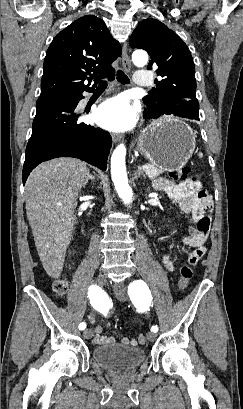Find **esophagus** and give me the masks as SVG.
<instances>
[{"label": "esophagus", "mask_w": 243, "mask_h": 409, "mask_svg": "<svg viewBox=\"0 0 243 409\" xmlns=\"http://www.w3.org/2000/svg\"><path fill=\"white\" fill-rule=\"evenodd\" d=\"M121 63H122V67L124 69V71H130L131 69V63H130V59L128 56V49H127V43H124L123 45V50H122V59H121ZM112 139L113 141H119L122 139V135L120 134H112Z\"/></svg>", "instance_id": "34e87169"}]
</instances>
